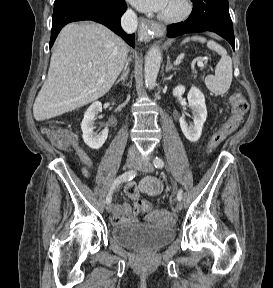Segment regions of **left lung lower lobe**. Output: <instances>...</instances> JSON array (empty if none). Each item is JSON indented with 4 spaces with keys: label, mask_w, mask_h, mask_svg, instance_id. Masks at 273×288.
<instances>
[{
    "label": "left lung lower lobe",
    "mask_w": 273,
    "mask_h": 288,
    "mask_svg": "<svg viewBox=\"0 0 273 288\" xmlns=\"http://www.w3.org/2000/svg\"><path fill=\"white\" fill-rule=\"evenodd\" d=\"M194 3L189 18L167 27V36L176 37L185 33L212 31L225 38L234 49V33L229 14L228 0H192Z\"/></svg>",
    "instance_id": "left-lung-lower-lobe-1"
}]
</instances>
